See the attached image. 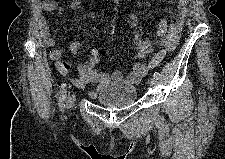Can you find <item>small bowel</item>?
I'll list each match as a JSON object with an SVG mask.
<instances>
[{
	"label": "small bowel",
	"instance_id": "1",
	"mask_svg": "<svg viewBox=\"0 0 225 159\" xmlns=\"http://www.w3.org/2000/svg\"><path fill=\"white\" fill-rule=\"evenodd\" d=\"M80 0H72L70 7L73 10L80 8ZM39 9L44 12H59V6L54 1H42L39 3ZM188 12L187 1L180 0L178 13L174 21L168 26L167 20L162 19L158 25L156 43L141 39L137 30V20L134 14L129 13L127 22L133 31V43L135 48L134 62L128 73L124 74L121 71L106 73L98 70L95 65L100 62L101 58L107 54L105 49H98L94 46H88L90 57L76 69V75L72 78L73 84L77 88H85L89 84L96 85V89L90 92L91 97H95L97 92L104 86L112 82H125L131 85H136L142 77L147 73V68L141 61L153 52L156 45L164 47L168 51H172L178 45L180 39L181 28L184 18ZM39 33L42 42L47 47H53L56 43V38L51 34L50 27L45 17L40 16L38 19ZM84 46L79 41H73L69 45V51L73 55H77L79 50ZM64 51L60 48H54L50 52V58L55 62L58 72L64 76L72 75L71 64L62 59Z\"/></svg>",
	"mask_w": 225,
	"mask_h": 159
}]
</instances>
